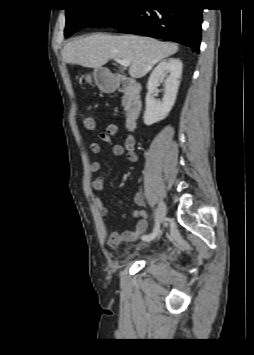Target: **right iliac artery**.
<instances>
[{"mask_svg":"<svg viewBox=\"0 0 254 355\" xmlns=\"http://www.w3.org/2000/svg\"><path fill=\"white\" fill-rule=\"evenodd\" d=\"M154 217H155V221H156L155 228H154V230H153V232L151 234L142 236V240L143 241L149 242V241L153 240L157 236L159 231H160L159 224H158V222L156 220V215L155 214H154Z\"/></svg>","mask_w":254,"mask_h":355,"instance_id":"right-iliac-artery-1","label":"right iliac artery"}]
</instances>
